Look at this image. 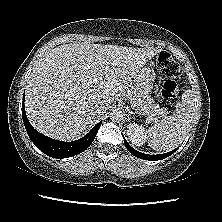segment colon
<instances>
[{
  "instance_id": "1",
  "label": "colon",
  "mask_w": 222,
  "mask_h": 222,
  "mask_svg": "<svg viewBox=\"0 0 222 222\" xmlns=\"http://www.w3.org/2000/svg\"><path fill=\"white\" fill-rule=\"evenodd\" d=\"M157 65L165 77L161 87V95L168 103H171L179 94L176 78L181 75L182 68L180 64L166 52L158 56Z\"/></svg>"
}]
</instances>
